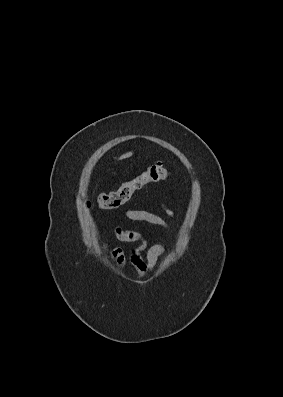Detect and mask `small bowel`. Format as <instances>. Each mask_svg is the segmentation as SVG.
Here are the masks:
<instances>
[{
	"label": "small bowel",
	"mask_w": 283,
	"mask_h": 397,
	"mask_svg": "<svg viewBox=\"0 0 283 397\" xmlns=\"http://www.w3.org/2000/svg\"><path fill=\"white\" fill-rule=\"evenodd\" d=\"M159 205L170 218H176L174 211L164 202H159ZM123 215L131 221L145 222L159 226L165 230H170V225L164 218L145 210L127 209L123 212ZM113 233L117 240L123 243L134 244V247L126 253L121 247L109 249L103 243V248L107 256L121 269H125L130 265L139 277H144L152 273L160 257L166 253V247L163 244L149 245L147 240L138 231L125 230L120 226H116Z\"/></svg>",
	"instance_id": "small-bowel-1"
}]
</instances>
